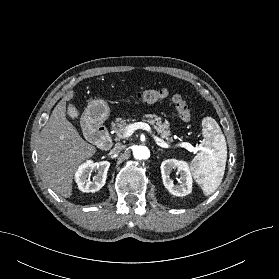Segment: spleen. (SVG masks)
Listing matches in <instances>:
<instances>
[{"mask_svg":"<svg viewBox=\"0 0 279 279\" xmlns=\"http://www.w3.org/2000/svg\"><path fill=\"white\" fill-rule=\"evenodd\" d=\"M203 151L191 161L190 169L205 196L213 194L222 182L227 146L218 123L212 117L202 120Z\"/></svg>","mask_w":279,"mask_h":279,"instance_id":"3e777b00","label":"spleen"}]
</instances>
